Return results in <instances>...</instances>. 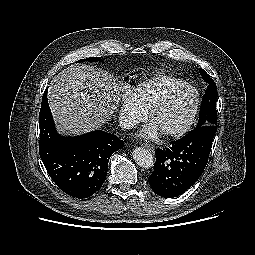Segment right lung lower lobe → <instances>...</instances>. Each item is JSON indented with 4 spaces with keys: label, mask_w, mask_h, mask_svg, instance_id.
I'll return each mask as SVG.
<instances>
[{
    "label": "right lung lower lobe",
    "mask_w": 255,
    "mask_h": 255,
    "mask_svg": "<svg viewBox=\"0 0 255 255\" xmlns=\"http://www.w3.org/2000/svg\"><path fill=\"white\" fill-rule=\"evenodd\" d=\"M42 97L39 113V154L56 185L81 198L93 195L107 176L110 156L124 145L116 135L96 130L77 137L57 133L47 100Z\"/></svg>",
    "instance_id": "1"
}]
</instances>
